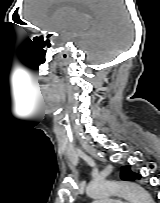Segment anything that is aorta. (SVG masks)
<instances>
[{"instance_id":"aorta-1","label":"aorta","mask_w":160,"mask_h":203,"mask_svg":"<svg viewBox=\"0 0 160 203\" xmlns=\"http://www.w3.org/2000/svg\"><path fill=\"white\" fill-rule=\"evenodd\" d=\"M86 192L93 198L120 195L130 203H154L150 194L143 187L126 181H94L88 185Z\"/></svg>"}]
</instances>
